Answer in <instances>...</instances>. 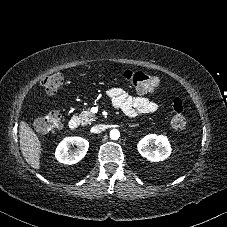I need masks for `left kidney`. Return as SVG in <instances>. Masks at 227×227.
I'll return each mask as SVG.
<instances>
[{"label":"left kidney","instance_id":"obj_1","mask_svg":"<svg viewBox=\"0 0 227 227\" xmlns=\"http://www.w3.org/2000/svg\"><path fill=\"white\" fill-rule=\"evenodd\" d=\"M157 148H153V145ZM137 149L141 156L152 162L163 161L171 154V146L167 137L163 135L149 134L141 139L137 145Z\"/></svg>","mask_w":227,"mask_h":227}]
</instances>
